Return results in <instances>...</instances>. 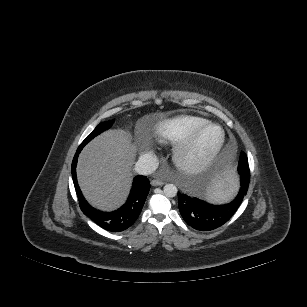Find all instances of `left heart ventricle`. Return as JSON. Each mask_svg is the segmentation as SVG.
<instances>
[{"label":"left heart ventricle","mask_w":307,"mask_h":307,"mask_svg":"<svg viewBox=\"0 0 307 307\" xmlns=\"http://www.w3.org/2000/svg\"><path fill=\"white\" fill-rule=\"evenodd\" d=\"M220 133L216 128L207 129L198 139L193 152L190 154V159H195L208 153L217 143Z\"/></svg>","instance_id":"b2bd125f"}]
</instances>
